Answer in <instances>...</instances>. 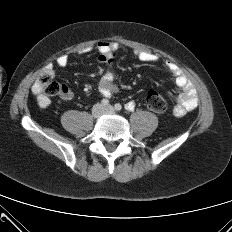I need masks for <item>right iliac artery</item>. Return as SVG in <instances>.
I'll use <instances>...</instances> for the list:
<instances>
[{
    "mask_svg": "<svg viewBox=\"0 0 232 232\" xmlns=\"http://www.w3.org/2000/svg\"><path fill=\"white\" fill-rule=\"evenodd\" d=\"M101 104H102L103 106H108V105H109V101H108L107 99H103V100L101 101Z\"/></svg>",
    "mask_w": 232,
    "mask_h": 232,
    "instance_id": "obj_1",
    "label": "right iliac artery"
}]
</instances>
